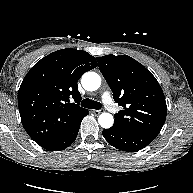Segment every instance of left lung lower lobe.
<instances>
[{"mask_svg":"<svg viewBox=\"0 0 193 193\" xmlns=\"http://www.w3.org/2000/svg\"><path fill=\"white\" fill-rule=\"evenodd\" d=\"M159 132H143V133H127L119 129L111 127L110 129H104L102 134L107 142L113 147L135 152L146 147Z\"/></svg>","mask_w":193,"mask_h":193,"instance_id":"left-lung-lower-lobe-1","label":"left lung lower lobe"}]
</instances>
